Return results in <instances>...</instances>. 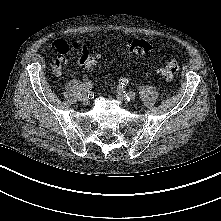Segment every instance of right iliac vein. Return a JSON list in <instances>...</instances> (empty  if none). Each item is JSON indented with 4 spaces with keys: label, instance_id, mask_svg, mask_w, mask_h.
<instances>
[{
    "label": "right iliac vein",
    "instance_id": "63e3f726",
    "mask_svg": "<svg viewBox=\"0 0 221 221\" xmlns=\"http://www.w3.org/2000/svg\"><path fill=\"white\" fill-rule=\"evenodd\" d=\"M83 98H84L85 101H87L90 98V92L85 90L84 94H83Z\"/></svg>",
    "mask_w": 221,
    "mask_h": 221
}]
</instances>
